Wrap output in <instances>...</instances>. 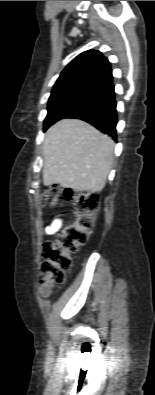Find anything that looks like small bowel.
Instances as JSON below:
<instances>
[{
    "label": "small bowel",
    "instance_id": "1",
    "mask_svg": "<svg viewBox=\"0 0 155 395\" xmlns=\"http://www.w3.org/2000/svg\"><path fill=\"white\" fill-rule=\"evenodd\" d=\"M62 226V220L60 218H55L46 228L45 233L47 235H53L57 233Z\"/></svg>",
    "mask_w": 155,
    "mask_h": 395
}]
</instances>
